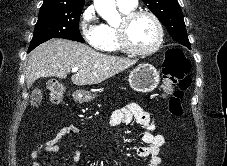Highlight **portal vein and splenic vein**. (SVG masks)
<instances>
[{
    "mask_svg": "<svg viewBox=\"0 0 227 166\" xmlns=\"http://www.w3.org/2000/svg\"><path fill=\"white\" fill-rule=\"evenodd\" d=\"M71 71H72V72H77V71H78V68H77V67H73V68L71 69Z\"/></svg>",
    "mask_w": 227,
    "mask_h": 166,
    "instance_id": "portal-vein-and-splenic-vein-1",
    "label": "portal vein and splenic vein"
}]
</instances>
